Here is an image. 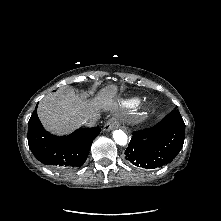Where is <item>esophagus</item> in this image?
<instances>
[{"label": "esophagus", "instance_id": "1", "mask_svg": "<svg viewBox=\"0 0 221 221\" xmlns=\"http://www.w3.org/2000/svg\"><path fill=\"white\" fill-rule=\"evenodd\" d=\"M119 126V121L116 117H111L108 119V121L105 123L103 130L104 131H110Z\"/></svg>", "mask_w": 221, "mask_h": 221}]
</instances>
